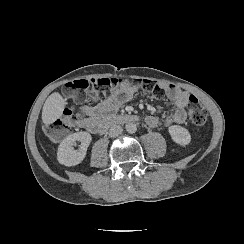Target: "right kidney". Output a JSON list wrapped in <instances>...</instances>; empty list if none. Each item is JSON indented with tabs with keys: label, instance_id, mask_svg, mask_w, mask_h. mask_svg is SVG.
<instances>
[{
	"label": "right kidney",
	"instance_id": "obj_1",
	"mask_svg": "<svg viewBox=\"0 0 244 244\" xmlns=\"http://www.w3.org/2000/svg\"><path fill=\"white\" fill-rule=\"evenodd\" d=\"M81 142L80 148L75 150L72 146L76 141ZM92 137L88 132H76L65 138L57 150V161L67 167L80 164L86 157L87 148L91 143Z\"/></svg>",
	"mask_w": 244,
	"mask_h": 244
}]
</instances>
